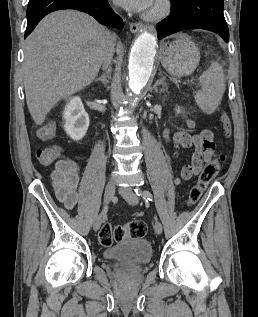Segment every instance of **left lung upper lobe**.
<instances>
[{"label": "left lung upper lobe", "instance_id": "1", "mask_svg": "<svg viewBox=\"0 0 258 317\" xmlns=\"http://www.w3.org/2000/svg\"><path fill=\"white\" fill-rule=\"evenodd\" d=\"M181 0H171L172 3L179 2Z\"/></svg>", "mask_w": 258, "mask_h": 317}]
</instances>
